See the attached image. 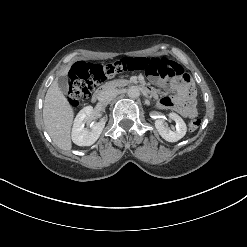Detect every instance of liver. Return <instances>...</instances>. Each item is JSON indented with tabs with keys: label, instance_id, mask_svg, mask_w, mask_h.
I'll list each match as a JSON object with an SVG mask.
<instances>
[{
	"label": "liver",
	"instance_id": "1",
	"mask_svg": "<svg viewBox=\"0 0 247 247\" xmlns=\"http://www.w3.org/2000/svg\"><path fill=\"white\" fill-rule=\"evenodd\" d=\"M68 71L69 67L63 70L60 75L66 76ZM73 117V109L60 90L57 79H55L45 96L43 120L53 142L64 151H70L72 148L70 132Z\"/></svg>",
	"mask_w": 247,
	"mask_h": 247
}]
</instances>
